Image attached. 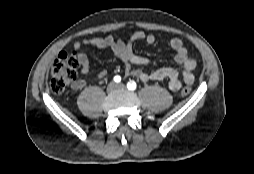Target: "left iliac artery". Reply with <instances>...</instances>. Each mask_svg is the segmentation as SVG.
<instances>
[{"label":"left iliac artery","instance_id":"left-iliac-artery-1","mask_svg":"<svg viewBox=\"0 0 254 174\" xmlns=\"http://www.w3.org/2000/svg\"><path fill=\"white\" fill-rule=\"evenodd\" d=\"M136 87H137V85H136V83L134 81H130V82L127 83V88L129 90H135Z\"/></svg>","mask_w":254,"mask_h":174}]
</instances>
